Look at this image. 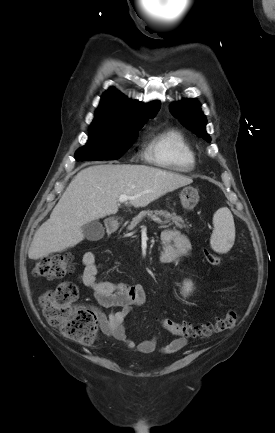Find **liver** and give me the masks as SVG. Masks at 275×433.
I'll use <instances>...</instances> for the list:
<instances>
[{
  "mask_svg": "<svg viewBox=\"0 0 275 433\" xmlns=\"http://www.w3.org/2000/svg\"><path fill=\"white\" fill-rule=\"evenodd\" d=\"M183 175L146 165H96L71 181L50 218L36 231L28 251L33 260L63 252L84 239L82 227L116 214L120 195L130 205L145 207L168 192L191 184Z\"/></svg>",
  "mask_w": 275,
  "mask_h": 433,
  "instance_id": "1",
  "label": "liver"
}]
</instances>
